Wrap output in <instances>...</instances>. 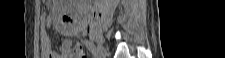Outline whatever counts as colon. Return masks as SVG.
Segmentation results:
<instances>
[{"label":"colon","mask_w":225,"mask_h":58,"mask_svg":"<svg viewBox=\"0 0 225 58\" xmlns=\"http://www.w3.org/2000/svg\"><path fill=\"white\" fill-rule=\"evenodd\" d=\"M71 53H72V57L73 58H87V54L86 52L84 51V49L79 46V45H75L72 50H71Z\"/></svg>","instance_id":"colon-1"}]
</instances>
